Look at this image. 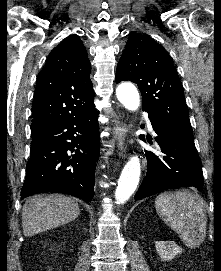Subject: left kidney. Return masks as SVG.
I'll return each mask as SVG.
<instances>
[{
	"label": "left kidney",
	"instance_id": "left-kidney-1",
	"mask_svg": "<svg viewBox=\"0 0 221 271\" xmlns=\"http://www.w3.org/2000/svg\"><path fill=\"white\" fill-rule=\"evenodd\" d=\"M155 247L163 261L173 259L175 255L182 253V247L176 241H155Z\"/></svg>",
	"mask_w": 221,
	"mask_h": 271
}]
</instances>
